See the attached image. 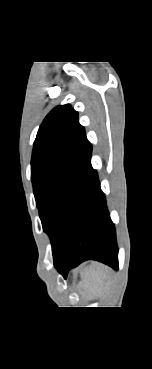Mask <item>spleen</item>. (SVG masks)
I'll list each match as a JSON object with an SVG mask.
<instances>
[{
    "mask_svg": "<svg viewBox=\"0 0 152 369\" xmlns=\"http://www.w3.org/2000/svg\"><path fill=\"white\" fill-rule=\"evenodd\" d=\"M81 287L89 294L90 299L101 296L110 285L109 270L102 264H92L82 272Z\"/></svg>",
    "mask_w": 152,
    "mask_h": 369,
    "instance_id": "3e777b00",
    "label": "spleen"
}]
</instances>
